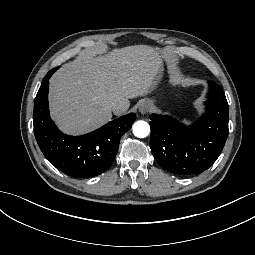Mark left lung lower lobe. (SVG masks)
Masks as SVG:
<instances>
[{
	"label": "left lung lower lobe",
	"instance_id": "1",
	"mask_svg": "<svg viewBox=\"0 0 255 255\" xmlns=\"http://www.w3.org/2000/svg\"><path fill=\"white\" fill-rule=\"evenodd\" d=\"M206 114L192 126L152 114L150 148L155 160L176 175L208 169L219 157L228 136V103L222 88L209 81Z\"/></svg>",
	"mask_w": 255,
	"mask_h": 255
}]
</instances>
